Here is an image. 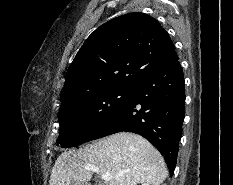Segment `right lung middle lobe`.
I'll return each mask as SVG.
<instances>
[{"instance_id": "1", "label": "right lung middle lobe", "mask_w": 233, "mask_h": 185, "mask_svg": "<svg viewBox=\"0 0 233 185\" xmlns=\"http://www.w3.org/2000/svg\"><path fill=\"white\" fill-rule=\"evenodd\" d=\"M128 89H107L81 97L60 108L57 143L69 148L87 139L126 100Z\"/></svg>"}]
</instances>
